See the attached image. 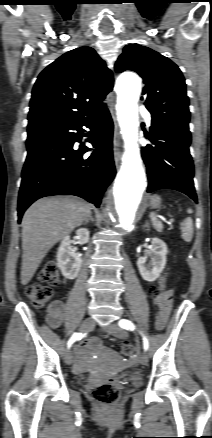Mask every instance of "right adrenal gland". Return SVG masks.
Wrapping results in <instances>:
<instances>
[{
	"instance_id": "1",
	"label": "right adrenal gland",
	"mask_w": 212,
	"mask_h": 438,
	"mask_svg": "<svg viewBox=\"0 0 212 438\" xmlns=\"http://www.w3.org/2000/svg\"><path fill=\"white\" fill-rule=\"evenodd\" d=\"M89 221L94 222V218L92 217V212L89 214L88 218L85 220V224H87Z\"/></svg>"
}]
</instances>
